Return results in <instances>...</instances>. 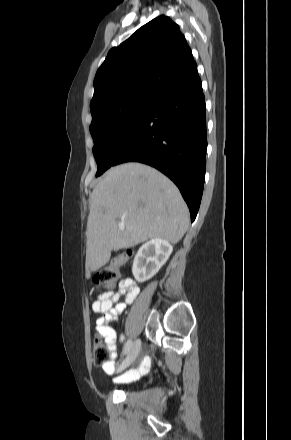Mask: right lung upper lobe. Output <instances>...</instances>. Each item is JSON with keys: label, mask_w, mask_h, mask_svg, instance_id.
I'll use <instances>...</instances> for the list:
<instances>
[{"label": "right lung upper lobe", "mask_w": 291, "mask_h": 440, "mask_svg": "<svg viewBox=\"0 0 291 440\" xmlns=\"http://www.w3.org/2000/svg\"><path fill=\"white\" fill-rule=\"evenodd\" d=\"M196 68L179 26L161 15L109 51L94 79L90 110L134 97H155Z\"/></svg>", "instance_id": "cb5924a9"}]
</instances>
